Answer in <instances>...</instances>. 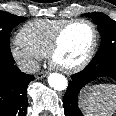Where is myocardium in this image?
<instances>
[{"label":"myocardium","instance_id":"f54148a6","mask_svg":"<svg viewBox=\"0 0 116 116\" xmlns=\"http://www.w3.org/2000/svg\"><path fill=\"white\" fill-rule=\"evenodd\" d=\"M77 23L87 24L91 28V30H92L91 46H90L86 56L79 63H77L73 66H70V67H64V66L58 65L55 62V55L60 47L61 39H62L65 31L70 26L77 24ZM97 46H98V30H97L95 24L92 21H90L88 19H84V18L71 19V20L66 21L63 25H61L59 27V29L56 31V33L52 39L51 45L47 52V59L53 68H55L61 72L66 73V74L75 73V72H78V71L84 69L91 62V60L93 59V57L95 55Z\"/></svg>","mask_w":116,"mask_h":116}]
</instances>
